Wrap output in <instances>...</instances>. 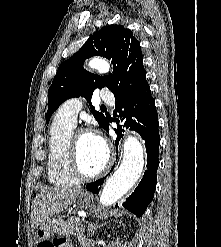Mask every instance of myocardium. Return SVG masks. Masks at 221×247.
<instances>
[{
    "label": "myocardium",
    "instance_id": "obj_1",
    "mask_svg": "<svg viewBox=\"0 0 221 247\" xmlns=\"http://www.w3.org/2000/svg\"><path fill=\"white\" fill-rule=\"evenodd\" d=\"M85 134H93V132H91L88 129H77L75 131H72L70 135V143H69V161H70V166H71V170L73 174L79 180L89 181V180L98 179L108 172V170L110 169L112 165L113 153H112V149L109 146V144L106 141L102 140L105 146V149H106L105 164L96 173H93V174L85 173L81 168V165L79 162V156H78V139L81 135H85Z\"/></svg>",
    "mask_w": 221,
    "mask_h": 247
}]
</instances>
